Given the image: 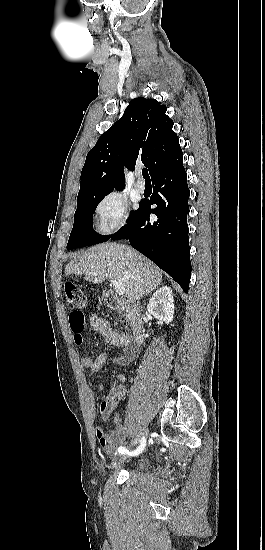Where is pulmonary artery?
I'll return each instance as SVG.
<instances>
[{"label":"pulmonary artery","mask_w":265,"mask_h":550,"mask_svg":"<svg viewBox=\"0 0 265 550\" xmlns=\"http://www.w3.org/2000/svg\"><path fill=\"white\" fill-rule=\"evenodd\" d=\"M138 176H140V174H138ZM135 189L138 193H143L145 191V184L143 181L139 180L137 181L136 185H135Z\"/></svg>","instance_id":"pulmonary-artery-1"}]
</instances>
